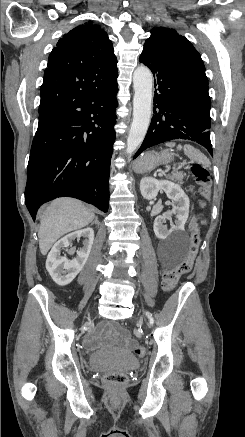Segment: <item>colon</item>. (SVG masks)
Returning a JSON list of instances; mask_svg holds the SVG:
<instances>
[{"instance_id":"1","label":"colon","mask_w":245,"mask_h":437,"mask_svg":"<svg viewBox=\"0 0 245 437\" xmlns=\"http://www.w3.org/2000/svg\"><path fill=\"white\" fill-rule=\"evenodd\" d=\"M191 173L196 183L199 185V194L201 198L198 200V205L201 209L206 207L205 198L208 196L210 188V174L208 169L200 164L194 163L191 166ZM200 244V232L195 228L191 232L190 245L186 257L174 268L165 270L162 275V287L165 291L173 290L180 277L188 273L193 266L194 259L197 255ZM133 352L141 357L145 354V348L142 346H134ZM127 377L123 373H109L104 376V382L110 386L118 387L123 385Z\"/></svg>"}]
</instances>
